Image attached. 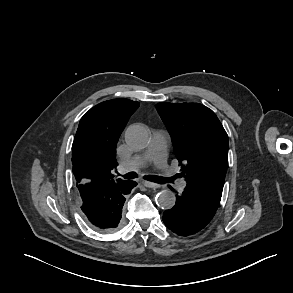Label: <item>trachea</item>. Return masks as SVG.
Wrapping results in <instances>:
<instances>
[{"mask_svg": "<svg viewBox=\"0 0 293 293\" xmlns=\"http://www.w3.org/2000/svg\"><path fill=\"white\" fill-rule=\"evenodd\" d=\"M136 177H137V173H134V172H130V173H127L126 175H124L125 179H133V178H136ZM147 179H149L151 181L160 182V183H168V182L172 181L169 178H164V177L154 176V175L148 176Z\"/></svg>", "mask_w": 293, "mask_h": 293, "instance_id": "1", "label": "trachea"}]
</instances>
